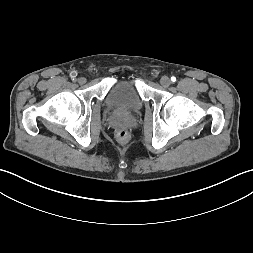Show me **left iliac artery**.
<instances>
[{
	"instance_id": "1",
	"label": "left iliac artery",
	"mask_w": 253,
	"mask_h": 253,
	"mask_svg": "<svg viewBox=\"0 0 253 253\" xmlns=\"http://www.w3.org/2000/svg\"><path fill=\"white\" fill-rule=\"evenodd\" d=\"M171 81H172V82H175V81H176V77H174V76L171 77Z\"/></svg>"
}]
</instances>
